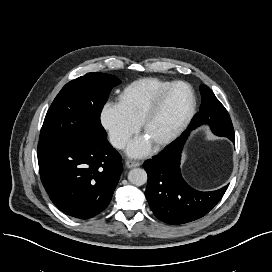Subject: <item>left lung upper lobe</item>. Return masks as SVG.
I'll return each mask as SVG.
<instances>
[{
  "mask_svg": "<svg viewBox=\"0 0 272 272\" xmlns=\"http://www.w3.org/2000/svg\"><path fill=\"white\" fill-rule=\"evenodd\" d=\"M202 104L200 112L194 117L193 122L201 124H211L212 131L215 133L225 131L233 132V125L230 123L229 114L220 101L215 97L212 90L206 86H200ZM228 121V123H225Z\"/></svg>",
  "mask_w": 272,
  "mask_h": 272,
  "instance_id": "5c2ea615",
  "label": "left lung upper lobe"
}]
</instances>
